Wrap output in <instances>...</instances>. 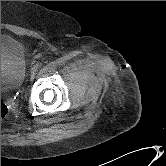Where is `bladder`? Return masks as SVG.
Listing matches in <instances>:
<instances>
[{
  "instance_id": "obj_1",
  "label": "bladder",
  "mask_w": 166,
  "mask_h": 166,
  "mask_svg": "<svg viewBox=\"0 0 166 166\" xmlns=\"http://www.w3.org/2000/svg\"><path fill=\"white\" fill-rule=\"evenodd\" d=\"M26 62L22 45L1 34V91L19 88L25 78Z\"/></svg>"
}]
</instances>
